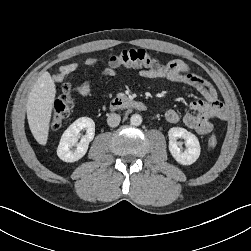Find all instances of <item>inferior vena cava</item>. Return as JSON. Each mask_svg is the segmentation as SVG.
I'll return each mask as SVG.
<instances>
[{
    "label": "inferior vena cava",
    "mask_w": 251,
    "mask_h": 251,
    "mask_svg": "<svg viewBox=\"0 0 251 251\" xmlns=\"http://www.w3.org/2000/svg\"><path fill=\"white\" fill-rule=\"evenodd\" d=\"M120 121H121L120 115H118L116 113H112V114L108 115L107 124L110 127H117L119 125Z\"/></svg>",
    "instance_id": "inferior-vena-cava-1"
}]
</instances>
